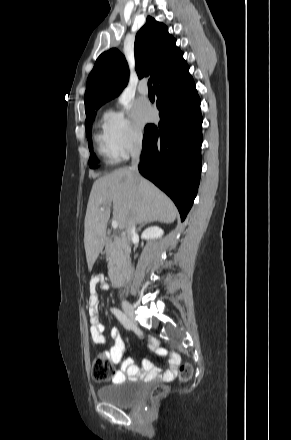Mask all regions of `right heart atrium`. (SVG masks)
<instances>
[{"mask_svg":"<svg viewBox=\"0 0 291 440\" xmlns=\"http://www.w3.org/2000/svg\"><path fill=\"white\" fill-rule=\"evenodd\" d=\"M104 126L111 148L118 158L126 157L142 142L141 131L124 111L106 112Z\"/></svg>","mask_w":291,"mask_h":440,"instance_id":"1","label":"right heart atrium"}]
</instances>
